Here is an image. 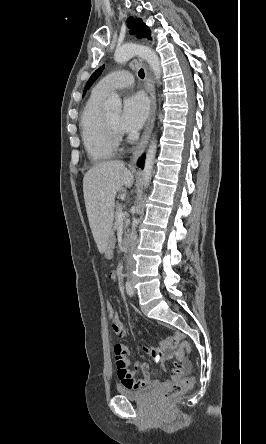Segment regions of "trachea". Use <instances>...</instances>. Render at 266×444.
Masks as SVG:
<instances>
[{"mask_svg": "<svg viewBox=\"0 0 266 444\" xmlns=\"http://www.w3.org/2000/svg\"><path fill=\"white\" fill-rule=\"evenodd\" d=\"M138 75H139V77H140L141 79H143L144 76H145V74H144V70H143V69H140L139 72H138Z\"/></svg>", "mask_w": 266, "mask_h": 444, "instance_id": "1", "label": "trachea"}]
</instances>
